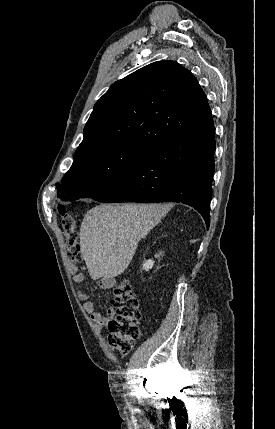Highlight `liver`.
I'll list each match as a JSON object with an SVG mask.
<instances>
[{
    "instance_id": "1",
    "label": "liver",
    "mask_w": 275,
    "mask_h": 429,
    "mask_svg": "<svg viewBox=\"0 0 275 429\" xmlns=\"http://www.w3.org/2000/svg\"><path fill=\"white\" fill-rule=\"evenodd\" d=\"M164 204H102L90 209L80 227V247L93 280H113L128 268L138 242L166 214Z\"/></svg>"
}]
</instances>
